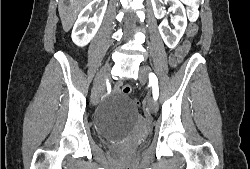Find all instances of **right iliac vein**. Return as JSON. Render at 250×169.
Instances as JSON below:
<instances>
[{"label":"right iliac vein","instance_id":"63e3f726","mask_svg":"<svg viewBox=\"0 0 250 169\" xmlns=\"http://www.w3.org/2000/svg\"><path fill=\"white\" fill-rule=\"evenodd\" d=\"M108 78L107 69H103L97 75L94 87L91 92V102L96 105L99 101L100 95L102 94V90L104 89V81Z\"/></svg>","mask_w":250,"mask_h":169}]
</instances>
